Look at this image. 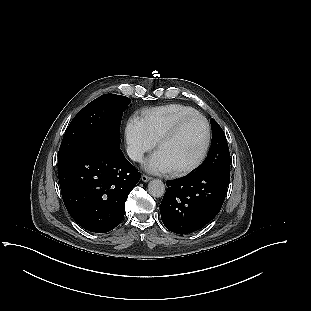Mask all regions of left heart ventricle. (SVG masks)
<instances>
[{
	"mask_svg": "<svg viewBox=\"0 0 311 311\" xmlns=\"http://www.w3.org/2000/svg\"><path fill=\"white\" fill-rule=\"evenodd\" d=\"M205 142V126L202 120L186 123L171 140L162 143L158 151L165 157L171 170L191 164L200 154Z\"/></svg>",
	"mask_w": 311,
	"mask_h": 311,
	"instance_id": "b2bd125f",
	"label": "left heart ventricle"
}]
</instances>
